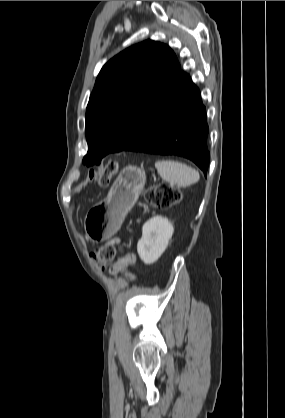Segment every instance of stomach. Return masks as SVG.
I'll use <instances>...</instances> for the list:
<instances>
[{"instance_id": "1", "label": "stomach", "mask_w": 285, "mask_h": 418, "mask_svg": "<svg viewBox=\"0 0 285 418\" xmlns=\"http://www.w3.org/2000/svg\"><path fill=\"white\" fill-rule=\"evenodd\" d=\"M146 182L145 172L136 166L125 167L107 198L89 211L85 219L87 236L95 242L110 238L120 228L135 205Z\"/></svg>"}]
</instances>
